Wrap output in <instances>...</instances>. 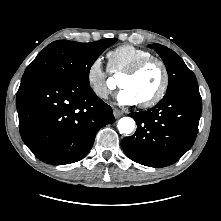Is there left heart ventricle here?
<instances>
[{"label":"left heart ventricle","mask_w":221,"mask_h":221,"mask_svg":"<svg viewBox=\"0 0 221 221\" xmlns=\"http://www.w3.org/2000/svg\"><path fill=\"white\" fill-rule=\"evenodd\" d=\"M162 82V70L157 63H150L132 77H121L119 86L130 90L138 103L151 98Z\"/></svg>","instance_id":"b2bd125f"}]
</instances>
